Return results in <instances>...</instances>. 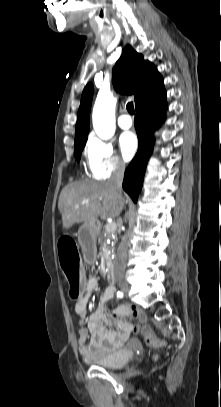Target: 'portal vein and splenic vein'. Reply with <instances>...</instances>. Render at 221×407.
Here are the masks:
<instances>
[{
  "label": "portal vein and splenic vein",
  "instance_id": "portal-vein-and-splenic-vein-1",
  "mask_svg": "<svg viewBox=\"0 0 221 407\" xmlns=\"http://www.w3.org/2000/svg\"><path fill=\"white\" fill-rule=\"evenodd\" d=\"M83 202H84V203H88L89 200H85V201H83ZM116 229H117V224H116L115 222H109V223L106 225V231H107L108 233L114 232Z\"/></svg>",
  "mask_w": 221,
  "mask_h": 407
}]
</instances>
